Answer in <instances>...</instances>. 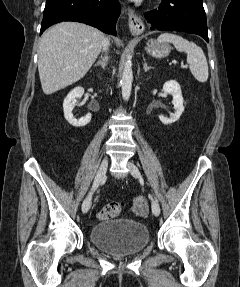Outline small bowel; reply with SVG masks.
<instances>
[{
    "label": "small bowel",
    "mask_w": 240,
    "mask_h": 287,
    "mask_svg": "<svg viewBox=\"0 0 240 287\" xmlns=\"http://www.w3.org/2000/svg\"><path fill=\"white\" fill-rule=\"evenodd\" d=\"M134 211L138 214H145L148 209L147 200L144 196L139 195L133 199Z\"/></svg>",
    "instance_id": "1"
}]
</instances>
